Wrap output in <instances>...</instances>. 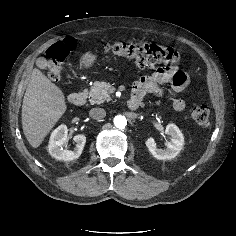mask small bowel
<instances>
[{
    "label": "small bowel",
    "instance_id": "1",
    "mask_svg": "<svg viewBox=\"0 0 236 236\" xmlns=\"http://www.w3.org/2000/svg\"><path fill=\"white\" fill-rule=\"evenodd\" d=\"M164 84H170L175 92H181L188 86L189 77L177 66L161 67L153 74L140 78L133 86V95L142 98L148 93L162 94L161 86ZM172 106L176 111H182L186 104L183 99L175 98Z\"/></svg>",
    "mask_w": 236,
    "mask_h": 236
}]
</instances>
